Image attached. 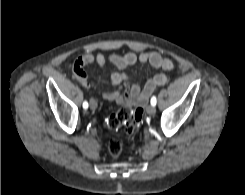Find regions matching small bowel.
<instances>
[{"label": "small bowel", "mask_w": 245, "mask_h": 195, "mask_svg": "<svg viewBox=\"0 0 245 195\" xmlns=\"http://www.w3.org/2000/svg\"><path fill=\"white\" fill-rule=\"evenodd\" d=\"M107 62H110L119 70L110 75V84L118 88L113 92L104 93L103 97L107 100L115 101L118 104L131 102L136 106H144L156 88L167 82V77L163 73H156L141 88L138 84L132 83L130 77L121 70L136 63L150 64L152 67L164 71L174 69L173 61L168 57L162 56L157 51L143 52L139 55L131 52L124 55H105L102 52L97 54L86 52L80 55L75 61L74 72L79 82L84 87L89 88L92 86V82L88 79L83 67L93 63H96L98 66H104Z\"/></svg>", "instance_id": "1"}]
</instances>
